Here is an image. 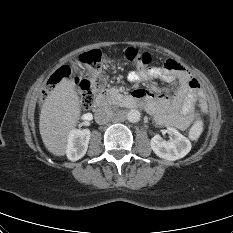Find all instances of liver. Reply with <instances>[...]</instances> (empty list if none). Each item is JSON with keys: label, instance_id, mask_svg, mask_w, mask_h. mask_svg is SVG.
Returning <instances> with one entry per match:
<instances>
[{"label": "liver", "instance_id": "liver-1", "mask_svg": "<svg viewBox=\"0 0 233 233\" xmlns=\"http://www.w3.org/2000/svg\"><path fill=\"white\" fill-rule=\"evenodd\" d=\"M81 116L79 96L72 81L62 79L47 96L40 113L39 130L46 149L64 156L68 136Z\"/></svg>", "mask_w": 233, "mask_h": 233}]
</instances>
